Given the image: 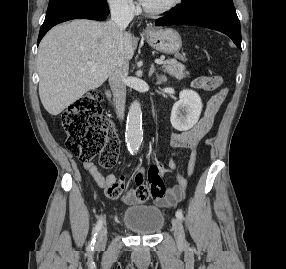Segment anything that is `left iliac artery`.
Wrapping results in <instances>:
<instances>
[{
	"instance_id": "44dca946",
	"label": "left iliac artery",
	"mask_w": 286,
	"mask_h": 269,
	"mask_svg": "<svg viewBox=\"0 0 286 269\" xmlns=\"http://www.w3.org/2000/svg\"><path fill=\"white\" fill-rule=\"evenodd\" d=\"M176 217L180 220H183L184 219V216H183V213L181 210H177L176 211Z\"/></svg>"
}]
</instances>
